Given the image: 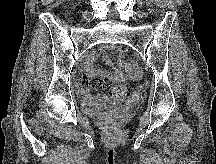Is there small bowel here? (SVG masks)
<instances>
[{"mask_svg":"<svg viewBox=\"0 0 216 164\" xmlns=\"http://www.w3.org/2000/svg\"><path fill=\"white\" fill-rule=\"evenodd\" d=\"M117 62L108 63L112 66L111 71L95 70L91 62H87L84 70L79 72L76 77L78 94L87 109L94 113H101L111 104L109 99L101 93H93L91 90L98 86L99 81L107 79L110 82L130 80L138 75L137 68L129 61L124 59V51L121 47L116 48Z\"/></svg>","mask_w":216,"mask_h":164,"instance_id":"c3829d8e","label":"small bowel"}]
</instances>
